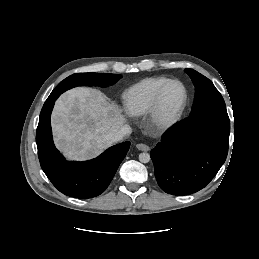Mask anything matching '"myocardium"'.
Returning a JSON list of instances; mask_svg holds the SVG:
<instances>
[{
  "label": "myocardium",
  "mask_w": 259,
  "mask_h": 259,
  "mask_svg": "<svg viewBox=\"0 0 259 259\" xmlns=\"http://www.w3.org/2000/svg\"><path fill=\"white\" fill-rule=\"evenodd\" d=\"M171 84H178L183 89V99L178 108L171 114H166L163 109V96L166 89ZM189 100V93L185 84L177 79H169L157 91L152 110L150 112V121L152 125L161 131L172 128L182 118Z\"/></svg>",
  "instance_id": "f54148a6"
}]
</instances>
